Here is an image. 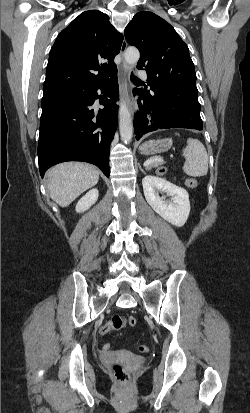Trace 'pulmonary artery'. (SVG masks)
Returning <instances> with one entry per match:
<instances>
[{
  "mask_svg": "<svg viewBox=\"0 0 250 413\" xmlns=\"http://www.w3.org/2000/svg\"><path fill=\"white\" fill-rule=\"evenodd\" d=\"M139 76L141 79L146 80L147 79V74L144 71L139 72Z\"/></svg>",
  "mask_w": 250,
  "mask_h": 413,
  "instance_id": "pulmonary-artery-1",
  "label": "pulmonary artery"
}]
</instances>
